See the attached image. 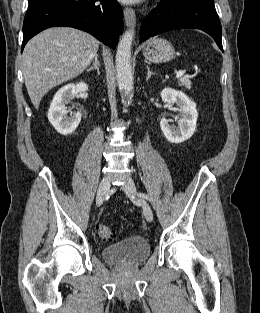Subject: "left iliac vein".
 <instances>
[{"label":"left iliac vein","mask_w":260,"mask_h":313,"mask_svg":"<svg viewBox=\"0 0 260 313\" xmlns=\"http://www.w3.org/2000/svg\"><path fill=\"white\" fill-rule=\"evenodd\" d=\"M122 190L128 195V196H135L136 194V187L135 183L132 179L128 178L126 182L122 184ZM140 203L143 209V214L147 221L151 222L153 220V212L150 207V205L145 201L144 199H140Z\"/></svg>","instance_id":"1"}]
</instances>
